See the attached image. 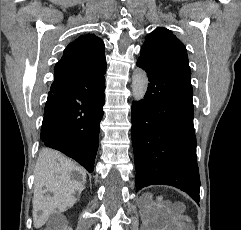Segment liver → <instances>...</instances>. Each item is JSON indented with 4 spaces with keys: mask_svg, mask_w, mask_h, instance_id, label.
<instances>
[{
    "mask_svg": "<svg viewBox=\"0 0 241 230\" xmlns=\"http://www.w3.org/2000/svg\"><path fill=\"white\" fill-rule=\"evenodd\" d=\"M39 163L35 169V186L38 194L33 199L34 227L43 226L49 216L56 210L64 212L77 201L76 193H81L86 182V171L77 166L58 151L42 149L38 157ZM77 173L80 180L72 174ZM42 187L52 193L46 199L42 195ZM39 213V215H37Z\"/></svg>",
    "mask_w": 241,
    "mask_h": 230,
    "instance_id": "obj_1",
    "label": "liver"
}]
</instances>
